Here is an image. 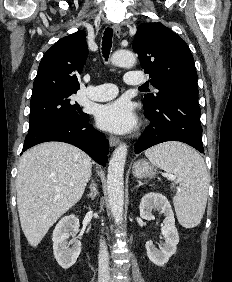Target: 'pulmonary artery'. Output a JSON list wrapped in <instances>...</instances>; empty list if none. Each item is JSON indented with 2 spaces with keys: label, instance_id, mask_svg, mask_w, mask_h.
Here are the masks:
<instances>
[{
  "label": "pulmonary artery",
  "instance_id": "e3ab8cb5",
  "mask_svg": "<svg viewBox=\"0 0 232 282\" xmlns=\"http://www.w3.org/2000/svg\"><path fill=\"white\" fill-rule=\"evenodd\" d=\"M124 81L130 86H139L145 82L140 72L129 71L125 74ZM87 96L94 101H108L118 94L117 87L112 83L92 85L87 88Z\"/></svg>",
  "mask_w": 232,
  "mask_h": 282
}]
</instances>
